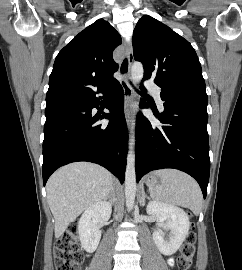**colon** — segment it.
<instances>
[{"mask_svg":"<svg viewBox=\"0 0 242 270\" xmlns=\"http://www.w3.org/2000/svg\"><path fill=\"white\" fill-rule=\"evenodd\" d=\"M78 226L70 225L62 236L58 239L55 246V265L56 270H77L82 262V254L77 244ZM196 235L189 232L181 248L177 260L179 270H189L195 254Z\"/></svg>","mask_w":242,"mask_h":270,"instance_id":"obj_1","label":"colon"}]
</instances>
